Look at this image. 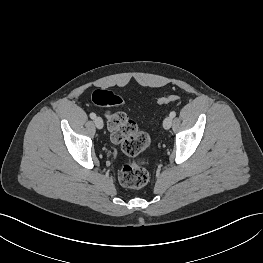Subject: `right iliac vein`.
Segmentation results:
<instances>
[{
	"instance_id": "obj_1",
	"label": "right iliac vein",
	"mask_w": 263,
	"mask_h": 263,
	"mask_svg": "<svg viewBox=\"0 0 263 263\" xmlns=\"http://www.w3.org/2000/svg\"><path fill=\"white\" fill-rule=\"evenodd\" d=\"M94 123H95V126L98 128V129H102L103 128V120L101 117H96L94 119Z\"/></svg>"
}]
</instances>
